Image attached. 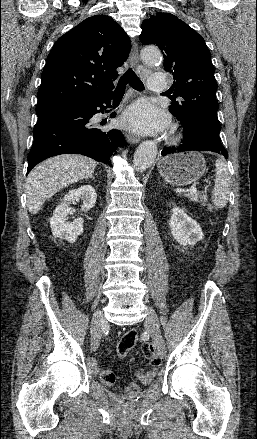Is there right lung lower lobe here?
Returning <instances> with one entry per match:
<instances>
[{"instance_id": "98d812e1", "label": "right lung lower lobe", "mask_w": 257, "mask_h": 439, "mask_svg": "<svg viewBox=\"0 0 257 439\" xmlns=\"http://www.w3.org/2000/svg\"><path fill=\"white\" fill-rule=\"evenodd\" d=\"M111 97L112 93L37 115L27 173L44 159L66 153L82 154L111 166L110 157L125 145L124 136L119 130L102 127L106 121L96 122L92 118L110 106Z\"/></svg>"}]
</instances>
